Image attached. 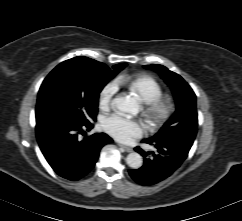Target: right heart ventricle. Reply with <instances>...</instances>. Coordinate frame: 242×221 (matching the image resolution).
<instances>
[{"mask_svg":"<svg viewBox=\"0 0 242 221\" xmlns=\"http://www.w3.org/2000/svg\"><path fill=\"white\" fill-rule=\"evenodd\" d=\"M118 84L126 85L141 101L147 103L162 96V87L156 79L148 75L126 76L117 78Z\"/></svg>","mask_w":242,"mask_h":221,"instance_id":"1","label":"right heart ventricle"}]
</instances>
